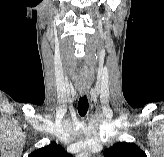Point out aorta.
<instances>
[{
  "instance_id": "1",
  "label": "aorta",
  "mask_w": 164,
  "mask_h": 157,
  "mask_svg": "<svg viewBox=\"0 0 164 157\" xmlns=\"http://www.w3.org/2000/svg\"><path fill=\"white\" fill-rule=\"evenodd\" d=\"M78 157H89L87 153H82Z\"/></svg>"
}]
</instances>
